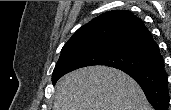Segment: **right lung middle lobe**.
<instances>
[{
  "label": "right lung middle lobe",
  "mask_w": 171,
  "mask_h": 110,
  "mask_svg": "<svg viewBox=\"0 0 171 110\" xmlns=\"http://www.w3.org/2000/svg\"><path fill=\"white\" fill-rule=\"evenodd\" d=\"M157 58L125 46L109 43H88L63 49L54 68L52 83L75 69L105 65L120 70L141 69L154 64Z\"/></svg>",
  "instance_id": "right-lung-middle-lobe-1"
}]
</instances>
